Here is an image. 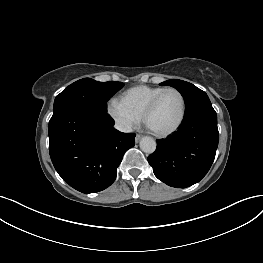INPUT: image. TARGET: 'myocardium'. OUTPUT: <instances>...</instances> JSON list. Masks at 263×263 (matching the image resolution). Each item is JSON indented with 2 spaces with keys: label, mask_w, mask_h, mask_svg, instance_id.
<instances>
[{
  "label": "myocardium",
  "mask_w": 263,
  "mask_h": 263,
  "mask_svg": "<svg viewBox=\"0 0 263 263\" xmlns=\"http://www.w3.org/2000/svg\"><path fill=\"white\" fill-rule=\"evenodd\" d=\"M169 91H174L176 92L180 98H181V103H182V110H181V115L178 119V121L169 129L167 130H163V131H157L154 130L152 128L149 127L148 125V118L150 116V114L154 111V109L156 108L158 102L160 101V99L162 98V96L164 94H166ZM186 111H187V104H186V98L183 94V92L181 90H179L178 88L175 87H167L165 89H163L161 92H159L147 105V107L145 108L144 112H143V121L145 126L155 135L159 136V137H167L173 133H175L180 126L182 125V123L184 122L185 116H186Z\"/></svg>",
  "instance_id": "1"
}]
</instances>
